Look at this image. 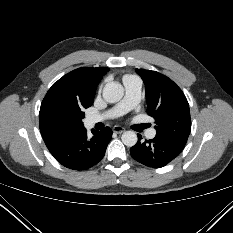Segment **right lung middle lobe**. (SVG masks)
<instances>
[{"instance_id":"right-lung-middle-lobe-1","label":"right lung middle lobe","mask_w":233,"mask_h":233,"mask_svg":"<svg viewBox=\"0 0 233 233\" xmlns=\"http://www.w3.org/2000/svg\"><path fill=\"white\" fill-rule=\"evenodd\" d=\"M75 116L79 119V120H82L84 117H85V113L83 112V110H77L75 112Z\"/></svg>"}]
</instances>
